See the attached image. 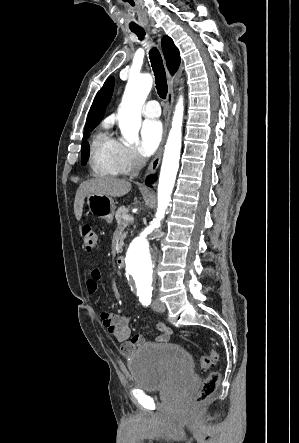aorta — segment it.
Returning a JSON list of instances; mask_svg holds the SVG:
<instances>
[{
  "label": "aorta",
  "instance_id": "762f6f07",
  "mask_svg": "<svg viewBox=\"0 0 299 443\" xmlns=\"http://www.w3.org/2000/svg\"><path fill=\"white\" fill-rule=\"evenodd\" d=\"M153 84L149 74L131 76L126 85L118 111V124L122 136L129 143L138 140L141 125V108ZM183 97L176 105L172 128L163 155L159 183L158 207L153 221L131 242L126 256V271L135 282V292L140 300L152 297L154 285L155 258L149 247V239L161 226V221L171 201V194L179 169L182 142Z\"/></svg>",
  "mask_w": 299,
  "mask_h": 443
}]
</instances>
